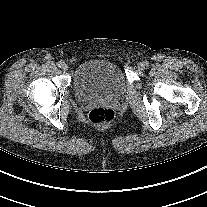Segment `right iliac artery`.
<instances>
[{"label": "right iliac artery", "mask_w": 207, "mask_h": 207, "mask_svg": "<svg viewBox=\"0 0 207 207\" xmlns=\"http://www.w3.org/2000/svg\"><path fill=\"white\" fill-rule=\"evenodd\" d=\"M63 63H64V61H63V60L58 61V63H57L58 67H60V68H61V66H62V64H63Z\"/></svg>", "instance_id": "1"}]
</instances>
